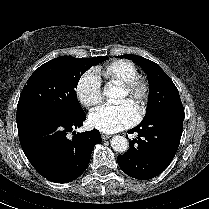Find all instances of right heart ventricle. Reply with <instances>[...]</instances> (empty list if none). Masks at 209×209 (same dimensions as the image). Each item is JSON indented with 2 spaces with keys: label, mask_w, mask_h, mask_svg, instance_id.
I'll use <instances>...</instances> for the list:
<instances>
[{
  "label": "right heart ventricle",
  "mask_w": 209,
  "mask_h": 209,
  "mask_svg": "<svg viewBox=\"0 0 209 209\" xmlns=\"http://www.w3.org/2000/svg\"><path fill=\"white\" fill-rule=\"evenodd\" d=\"M97 75L110 83L121 85L138 75V69L133 62L119 59L98 68Z\"/></svg>",
  "instance_id": "right-heart-ventricle-1"
}]
</instances>
